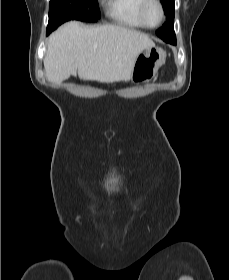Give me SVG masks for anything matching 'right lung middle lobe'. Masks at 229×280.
<instances>
[{"label":"right lung middle lobe","instance_id":"1","mask_svg":"<svg viewBox=\"0 0 229 280\" xmlns=\"http://www.w3.org/2000/svg\"><path fill=\"white\" fill-rule=\"evenodd\" d=\"M99 18L97 0H50L47 32L71 19L96 22Z\"/></svg>","mask_w":229,"mask_h":280}]
</instances>
